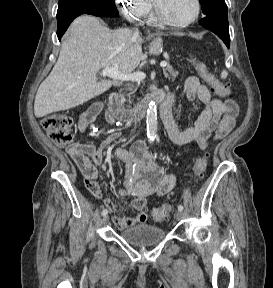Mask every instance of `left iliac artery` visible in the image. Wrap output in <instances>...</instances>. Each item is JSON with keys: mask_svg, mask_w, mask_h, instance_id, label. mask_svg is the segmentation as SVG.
I'll return each mask as SVG.
<instances>
[{"mask_svg": "<svg viewBox=\"0 0 273 288\" xmlns=\"http://www.w3.org/2000/svg\"><path fill=\"white\" fill-rule=\"evenodd\" d=\"M178 210L182 211L183 210V206L182 205H178Z\"/></svg>", "mask_w": 273, "mask_h": 288, "instance_id": "left-iliac-artery-1", "label": "left iliac artery"}]
</instances>
